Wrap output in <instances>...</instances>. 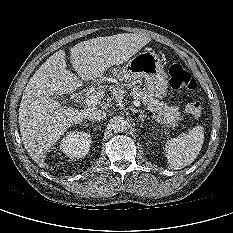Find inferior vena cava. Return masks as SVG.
Returning <instances> with one entry per match:
<instances>
[{
    "instance_id": "602c4592",
    "label": "inferior vena cava",
    "mask_w": 233,
    "mask_h": 233,
    "mask_svg": "<svg viewBox=\"0 0 233 233\" xmlns=\"http://www.w3.org/2000/svg\"><path fill=\"white\" fill-rule=\"evenodd\" d=\"M106 118V113L102 110H92L89 115L88 119L93 122H100Z\"/></svg>"
}]
</instances>
